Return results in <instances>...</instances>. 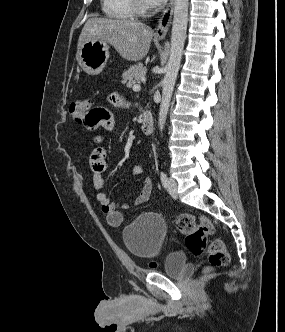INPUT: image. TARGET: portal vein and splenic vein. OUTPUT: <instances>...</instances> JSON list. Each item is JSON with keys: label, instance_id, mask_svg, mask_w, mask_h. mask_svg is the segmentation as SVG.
I'll list each match as a JSON object with an SVG mask.
<instances>
[{"label": "portal vein and splenic vein", "instance_id": "portal-vein-and-splenic-vein-1", "mask_svg": "<svg viewBox=\"0 0 285 332\" xmlns=\"http://www.w3.org/2000/svg\"><path fill=\"white\" fill-rule=\"evenodd\" d=\"M141 89V86L139 84H136L133 86L134 91H139Z\"/></svg>", "mask_w": 285, "mask_h": 332}]
</instances>
